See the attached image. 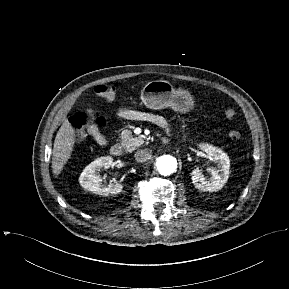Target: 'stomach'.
<instances>
[{"instance_id":"0dacf381","label":"stomach","mask_w":289,"mask_h":289,"mask_svg":"<svg viewBox=\"0 0 289 289\" xmlns=\"http://www.w3.org/2000/svg\"><path fill=\"white\" fill-rule=\"evenodd\" d=\"M141 100L147 108H171L180 113L189 112L194 106L193 97L187 90L175 89L165 80L148 82L141 91Z\"/></svg>"}]
</instances>
